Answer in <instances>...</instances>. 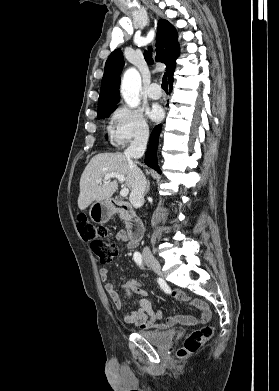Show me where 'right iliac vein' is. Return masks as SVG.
Returning <instances> with one entry per match:
<instances>
[{"mask_svg": "<svg viewBox=\"0 0 279 391\" xmlns=\"http://www.w3.org/2000/svg\"><path fill=\"white\" fill-rule=\"evenodd\" d=\"M145 262L153 271H155L156 273H161V265L155 257L151 255L146 256Z\"/></svg>", "mask_w": 279, "mask_h": 391, "instance_id": "1", "label": "right iliac vein"}]
</instances>
